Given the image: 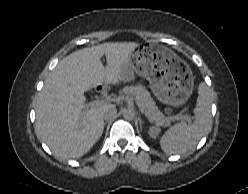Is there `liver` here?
Here are the masks:
<instances>
[{"label":"liver","mask_w":248,"mask_h":194,"mask_svg":"<svg viewBox=\"0 0 248 194\" xmlns=\"http://www.w3.org/2000/svg\"><path fill=\"white\" fill-rule=\"evenodd\" d=\"M138 46L108 42L83 48L63 58L52 71L37 99L36 130L56 156L80 158L101 137L104 110L111 104L84 110V93L103 83L124 81V68Z\"/></svg>","instance_id":"obj_1"}]
</instances>
